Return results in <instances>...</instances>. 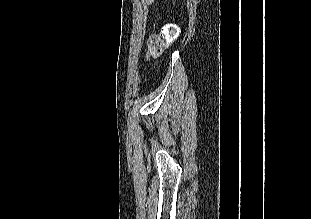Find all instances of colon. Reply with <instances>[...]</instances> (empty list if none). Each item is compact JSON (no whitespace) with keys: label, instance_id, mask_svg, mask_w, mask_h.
Returning <instances> with one entry per match:
<instances>
[{"label":"colon","instance_id":"colon-1","mask_svg":"<svg viewBox=\"0 0 311 219\" xmlns=\"http://www.w3.org/2000/svg\"><path fill=\"white\" fill-rule=\"evenodd\" d=\"M179 28L174 23L165 25L161 32L150 36L147 42V49L151 56L161 55L165 49L178 37Z\"/></svg>","mask_w":311,"mask_h":219}]
</instances>
